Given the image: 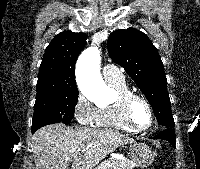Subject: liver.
I'll return each mask as SVG.
<instances>
[{
	"mask_svg": "<svg viewBox=\"0 0 200 169\" xmlns=\"http://www.w3.org/2000/svg\"><path fill=\"white\" fill-rule=\"evenodd\" d=\"M134 139L112 129L42 127L32 137L35 169H94L118 147Z\"/></svg>",
	"mask_w": 200,
	"mask_h": 169,
	"instance_id": "obj_1",
	"label": "liver"
}]
</instances>
